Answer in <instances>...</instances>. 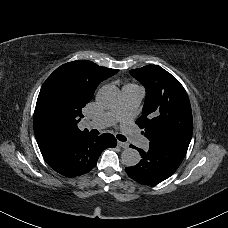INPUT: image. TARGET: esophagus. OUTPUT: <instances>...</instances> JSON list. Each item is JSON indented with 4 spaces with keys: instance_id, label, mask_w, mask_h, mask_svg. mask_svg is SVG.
Instances as JSON below:
<instances>
[{
    "instance_id": "obj_1",
    "label": "esophagus",
    "mask_w": 228,
    "mask_h": 228,
    "mask_svg": "<svg viewBox=\"0 0 228 228\" xmlns=\"http://www.w3.org/2000/svg\"><path fill=\"white\" fill-rule=\"evenodd\" d=\"M117 144L124 148V149H127L129 147V144L128 143H125V142H122V141H118Z\"/></svg>"
}]
</instances>
